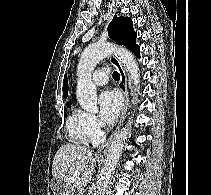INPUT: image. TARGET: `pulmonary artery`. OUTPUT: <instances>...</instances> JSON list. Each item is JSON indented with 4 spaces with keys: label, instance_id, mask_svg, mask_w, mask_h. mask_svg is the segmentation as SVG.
I'll return each mask as SVG.
<instances>
[{
    "label": "pulmonary artery",
    "instance_id": "e3ab8cb5",
    "mask_svg": "<svg viewBox=\"0 0 211 195\" xmlns=\"http://www.w3.org/2000/svg\"><path fill=\"white\" fill-rule=\"evenodd\" d=\"M108 78H109V70L104 68V69L96 70L93 73L92 80L95 85L103 86L107 84Z\"/></svg>",
    "mask_w": 211,
    "mask_h": 195
}]
</instances>
